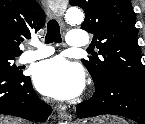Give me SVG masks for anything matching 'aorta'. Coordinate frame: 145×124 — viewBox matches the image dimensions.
Returning a JSON list of instances; mask_svg holds the SVG:
<instances>
[{
  "label": "aorta",
  "instance_id": "aorta-1",
  "mask_svg": "<svg viewBox=\"0 0 145 124\" xmlns=\"http://www.w3.org/2000/svg\"><path fill=\"white\" fill-rule=\"evenodd\" d=\"M65 20L69 24H78L84 20V14L79 9L70 8L65 13Z\"/></svg>",
  "mask_w": 145,
  "mask_h": 124
}]
</instances>
